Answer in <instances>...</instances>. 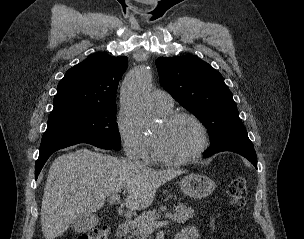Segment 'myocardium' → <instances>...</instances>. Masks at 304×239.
Here are the masks:
<instances>
[{
    "instance_id": "myocardium-1",
    "label": "myocardium",
    "mask_w": 304,
    "mask_h": 239,
    "mask_svg": "<svg viewBox=\"0 0 304 239\" xmlns=\"http://www.w3.org/2000/svg\"><path fill=\"white\" fill-rule=\"evenodd\" d=\"M181 118L189 119L198 127V129L200 131V137H201L199 147L196 149L195 152H193L192 154H190L186 157L169 158V157H165L159 153L157 146H156L155 138L152 136L151 137L152 153H153V158L155 161H157L161 164H165V165H185V164L198 160L203 155V153L207 150V148L209 146L208 129L205 126V124L193 113H190L187 111H174L169 114L163 115L162 122L165 125H169V124L173 123L174 121L181 119Z\"/></svg>"
}]
</instances>
